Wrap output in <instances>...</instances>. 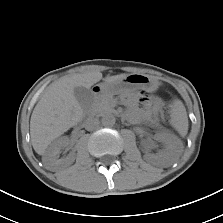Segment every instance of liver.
Here are the masks:
<instances>
[{
    "mask_svg": "<svg viewBox=\"0 0 223 223\" xmlns=\"http://www.w3.org/2000/svg\"><path fill=\"white\" fill-rule=\"evenodd\" d=\"M128 74L107 76L105 81H117ZM102 79L99 71L61 77L52 83L35 106L30 120L32 146L44 155L53 140L81 121L83 110L74 95L75 87L91 88Z\"/></svg>",
    "mask_w": 223,
    "mask_h": 223,
    "instance_id": "1",
    "label": "liver"
}]
</instances>
